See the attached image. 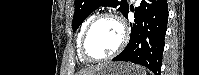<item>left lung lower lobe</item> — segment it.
<instances>
[{"mask_svg":"<svg viewBox=\"0 0 199 75\" xmlns=\"http://www.w3.org/2000/svg\"><path fill=\"white\" fill-rule=\"evenodd\" d=\"M128 12L129 8L126 18ZM167 22V0H141L135 9L134 23H131L129 43L112 60L136 63L160 75Z\"/></svg>","mask_w":199,"mask_h":75,"instance_id":"left-lung-lower-lobe-1","label":"left lung lower lobe"}]
</instances>
